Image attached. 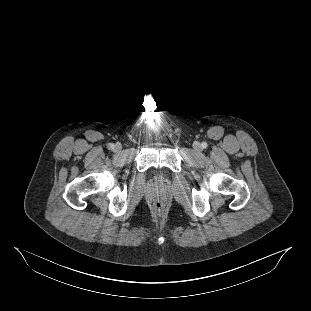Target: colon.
Returning a JSON list of instances; mask_svg holds the SVG:
<instances>
[{
  "mask_svg": "<svg viewBox=\"0 0 311 311\" xmlns=\"http://www.w3.org/2000/svg\"><path fill=\"white\" fill-rule=\"evenodd\" d=\"M156 207L159 209L161 206H160V204H157Z\"/></svg>",
  "mask_w": 311,
  "mask_h": 311,
  "instance_id": "colon-1",
  "label": "colon"
}]
</instances>
